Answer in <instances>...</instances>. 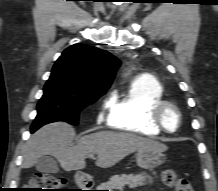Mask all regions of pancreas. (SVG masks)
I'll return each mask as SVG.
<instances>
[{
  "instance_id": "pancreas-1",
  "label": "pancreas",
  "mask_w": 218,
  "mask_h": 191,
  "mask_svg": "<svg viewBox=\"0 0 218 191\" xmlns=\"http://www.w3.org/2000/svg\"><path fill=\"white\" fill-rule=\"evenodd\" d=\"M150 179L151 177L145 173L137 175H114L107 183L102 184L98 189L123 190L126 186L134 189L147 184Z\"/></svg>"
}]
</instances>
